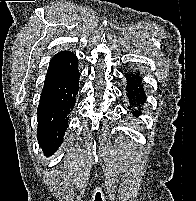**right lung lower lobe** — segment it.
I'll list each match as a JSON object with an SVG mask.
<instances>
[{"label":"right lung lower lobe","instance_id":"1","mask_svg":"<svg viewBox=\"0 0 196 201\" xmlns=\"http://www.w3.org/2000/svg\"><path fill=\"white\" fill-rule=\"evenodd\" d=\"M79 76L74 54L58 53L51 59L37 109V137L46 156L63 142L68 116L76 103Z\"/></svg>","mask_w":196,"mask_h":201}]
</instances>
